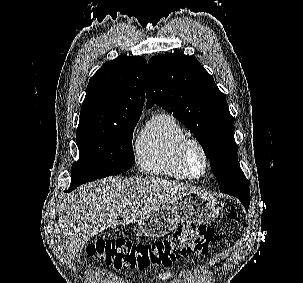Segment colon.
<instances>
[{"label":"colon","mask_w":303,"mask_h":283,"mask_svg":"<svg viewBox=\"0 0 303 283\" xmlns=\"http://www.w3.org/2000/svg\"><path fill=\"white\" fill-rule=\"evenodd\" d=\"M228 218L233 221L235 213ZM214 240V231L206 225H183L168 238L152 243H133L123 240L100 239L89 243L87 256L97 257L115 269L144 270L168 266L178 258L194 253L206 254Z\"/></svg>","instance_id":"colon-1"}]
</instances>
